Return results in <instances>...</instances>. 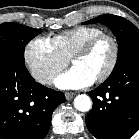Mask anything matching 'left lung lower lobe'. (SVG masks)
<instances>
[{
  "label": "left lung lower lobe",
  "instance_id": "left-lung-lower-lobe-1",
  "mask_svg": "<svg viewBox=\"0 0 139 139\" xmlns=\"http://www.w3.org/2000/svg\"><path fill=\"white\" fill-rule=\"evenodd\" d=\"M92 110L85 121L98 139H128L139 129V54L112 71L109 78L88 92Z\"/></svg>",
  "mask_w": 139,
  "mask_h": 139
}]
</instances>
